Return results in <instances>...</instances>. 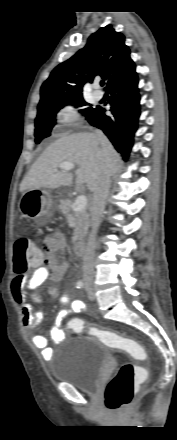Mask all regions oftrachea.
Listing matches in <instances>:
<instances>
[{
    "label": "trachea",
    "instance_id": "1",
    "mask_svg": "<svg viewBox=\"0 0 177 440\" xmlns=\"http://www.w3.org/2000/svg\"><path fill=\"white\" fill-rule=\"evenodd\" d=\"M100 84H101V86H103V85H104V81H101V83H100Z\"/></svg>",
    "mask_w": 177,
    "mask_h": 440
}]
</instances>
